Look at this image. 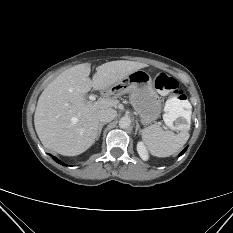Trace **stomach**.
Masks as SVG:
<instances>
[{
	"label": "stomach",
	"instance_id": "0dacf381",
	"mask_svg": "<svg viewBox=\"0 0 233 233\" xmlns=\"http://www.w3.org/2000/svg\"><path fill=\"white\" fill-rule=\"evenodd\" d=\"M111 90L118 94H130V102L143 125H149L159 118L161 99L148 72L140 69L133 71L111 86Z\"/></svg>",
	"mask_w": 233,
	"mask_h": 233
}]
</instances>
